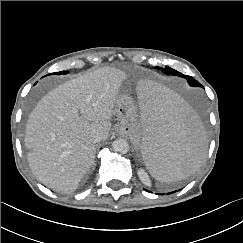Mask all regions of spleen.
Wrapping results in <instances>:
<instances>
[{
  "instance_id": "obj_1",
  "label": "spleen",
  "mask_w": 243,
  "mask_h": 243,
  "mask_svg": "<svg viewBox=\"0 0 243 243\" xmlns=\"http://www.w3.org/2000/svg\"><path fill=\"white\" fill-rule=\"evenodd\" d=\"M136 93L142 165L161 183L191 176L205 157L207 143L199 117L167 86L151 78L140 80Z\"/></svg>"
}]
</instances>
